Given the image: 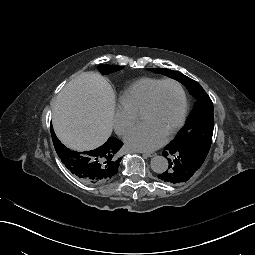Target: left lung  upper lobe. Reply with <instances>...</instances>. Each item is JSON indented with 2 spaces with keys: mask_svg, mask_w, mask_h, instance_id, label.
I'll list each match as a JSON object with an SVG mask.
<instances>
[{
  "mask_svg": "<svg viewBox=\"0 0 255 255\" xmlns=\"http://www.w3.org/2000/svg\"><path fill=\"white\" fill-rule=\"evenodd\" d=\"M148 70L176 79L196 98L194 109L182 132L172 137L166 147L170 144L174 147L180 146L195 156L198 161H205L210 152L214 129L213 104L210 97L198 82L178 71L165 68H148Z\"/></svg>",
  "mask_w": 255,
  "mask_h": 255,
  "instance_id": "left-lung-upper-lobe-1",
  "label": "left lung upper lobe"
}]
</instances>
